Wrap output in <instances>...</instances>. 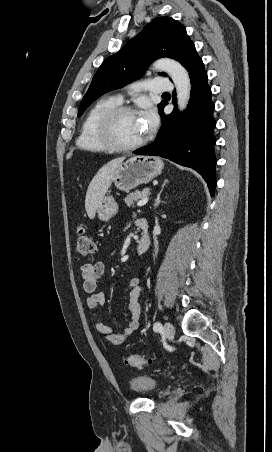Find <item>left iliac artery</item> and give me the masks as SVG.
<instances>
[{
    "label": "left iliac artery",
    "instance_id": "obj_1",
    "mask_svg": "<svg viewBox=\"0 0 272 452\" xmlns=\"http://www.w3.org/2000/svg\"><path fill=\"white\" fill-rule=\"evenodd\" d=\"M153 329L157 332L161 331L163 329L162 324L160 322H156L153 326Z\"/></svg>",
    "mask_w": 272,
    "mask_h": 452
}]
</instances>
